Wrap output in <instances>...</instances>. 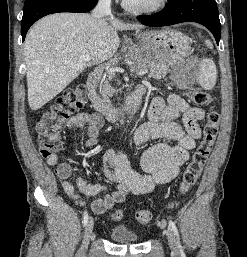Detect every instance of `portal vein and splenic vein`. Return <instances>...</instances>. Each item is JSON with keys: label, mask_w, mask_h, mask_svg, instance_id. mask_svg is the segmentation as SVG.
Returning <instances> with one entry per match:
<instances>
[{"label": "portal vein and splenic vein", "mask_w": 247, "mask_h": 257, "mask_svg": "<svg viewBox=\"0 0 247 257\" xmlns=\"http://www.w3.org/2000/svg\"><path fill=\"white\" fill-rule=\"evenodd\" d=\"M90 59H91V57L89 55H81L79 57V60L83 61V62L90 61ZM146 73H147V70H143V71H140L138 74L142 76V75H144Z\"/></svg>", "instance_id": "obj_1"}]
</instances>
